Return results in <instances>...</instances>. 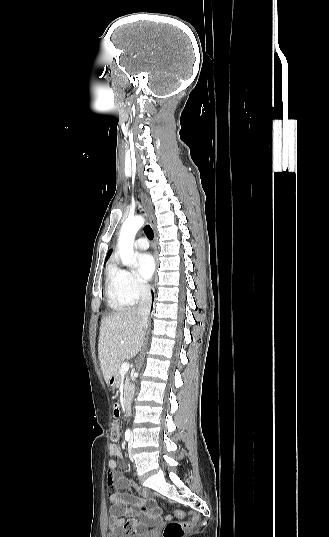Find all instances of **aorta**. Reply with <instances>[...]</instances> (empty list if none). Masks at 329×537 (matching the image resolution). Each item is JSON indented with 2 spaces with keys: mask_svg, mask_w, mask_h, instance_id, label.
Segmentation results:
<instances>
[{
  "mask_svg": "<svg viewBox=\"0 0 329 537\" xmlns=\"http://www.w3.org/2000/svg\"><path fill=\"white\" fill-rule=\"evenodd\" d=\"M145 220L142 216L129 217L122 225L118 249L122 264L131 266L134 264L133 243L138 230L143 226Z\"/></svg>",
  "mask_w": 329,
  "mask_h": 537,
  "instance_id": "1",
  "label": "aorta"
}]
</instances>
